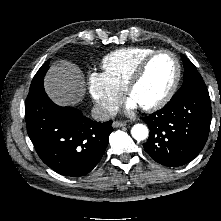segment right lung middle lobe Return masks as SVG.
<instances>
[{
    "instance_id": "obj_1",
    "label": "right lung middle lobe",
    "mask_w": 221,
    "mask_h": 221,
    "mask_svg": "<svg viewBox=\"0 0 221 221\" xmlns=\"http://www.w3.org/2000/svg\"><path fill=\"white\" fill-rule=\"evenodd\" d=\"M49 60L45 62V64L38 70L36 75L33 78V81L31 83V87H35L36 85L43 83V78L49 68L48 66Z\"/></svg>"
}]
</instances>
